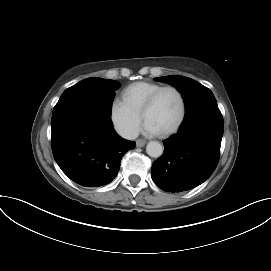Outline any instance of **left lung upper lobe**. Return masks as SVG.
I'll use <instances>...</instances> for the list:
<instances>
[{"label": "left lung upper lobe", "instance_id": "obj_1", "mask_svg": "<svg viewBox=\"0 0 271 271\" xmlns=\"http://www.w3.org/2000/svg\"><path fill=\"white\" fill-rule=\"evenodd\" d=\"M155 80L171 84L180 91L185 103V119L198 111L218 108L212 91L191 78L171 75Z\"/></svg>", "mask_w": 271, "mask_h": 271}]
</instances>
